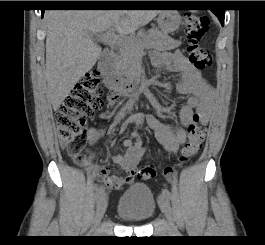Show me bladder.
Returning a JSON list of instances; mask_svg holds the SVG:
<instances>
[{"label":"bladder","mask_w":265,"mask_h":245,"mask_svg":"<svg viewBox=\"0 0 265 245\" xmlns=\"http://www.w3.org/2000/svg\"><path fill=\"white\" fill-rule=\"evenodd\" d=\"M157 200L153 198L148 186L134 184L121 195L116 213L129 223H143L155 212Z\"/></svg>","instance_id":"1"}]
</instances>
